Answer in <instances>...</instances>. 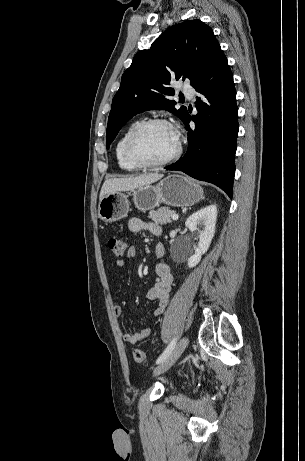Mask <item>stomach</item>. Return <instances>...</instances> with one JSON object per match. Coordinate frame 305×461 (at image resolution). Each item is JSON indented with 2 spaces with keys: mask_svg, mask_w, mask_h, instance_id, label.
<instances>
[{
  "mask_svg": "<svg viewBox=\"0 0 305 461\" xmlns=\"http://www.w3.org/2000/svg\"><path fill=\"white\" fill-rule=\"evenodd\" d=\"M129 196L139 210L145 212L161 203L185 207L198 203L203 198V189L189 177L173 174L156 185H146L131 193L114 192L104 196L98 206V216L104 222H114L127 216Z\"/></svg>",
  "mask_w": 305,
  "mask_h": 461,
  "instance_id": "1",
  "label": "stomach"
}]
</instances>
